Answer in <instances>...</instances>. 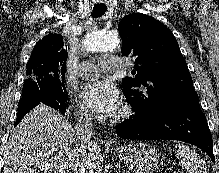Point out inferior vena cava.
<instances>
[{
	"label": "inferior vena cava",
	"instance_id": "1",
	"mask_svg": "<svg viewBox=\"0 0 219 173\" xmlns=\"http://www.w3.org/2000/svg\"><path fill=\"white\" fill-rule=\"evenodd\" d=\"M77 123L75 127V139L80 147L82 158L76 163L74 173H92L90 162L93 151L96 150V142L92 141L93 124L91 112L83 107L76 111Z\"/></svg>",
	"mask_w": 219,
	"mask_h": 173
}]
</instances>
